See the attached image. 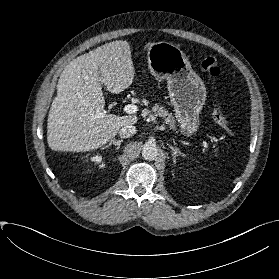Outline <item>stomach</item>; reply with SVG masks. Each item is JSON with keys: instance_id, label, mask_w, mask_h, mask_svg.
<instances>
[{"instance_id": "stomach-1", "label": "stomach", "mask_w": 279, "mask_h": 279, "mask_svg": "<svg viewBox=\"0 0 279 279\" xmlns=\"http://www.w3.org/2000/svg\"><path fill=\"white\" fill-rule=\"evenodd\" d=\"M148 68L157 79H166L181 132L190 137L198 131L199 114L206 100V87L192 69L185 53L168 42L153 43L147 50Z\"/></svg>"}]
</instances>
